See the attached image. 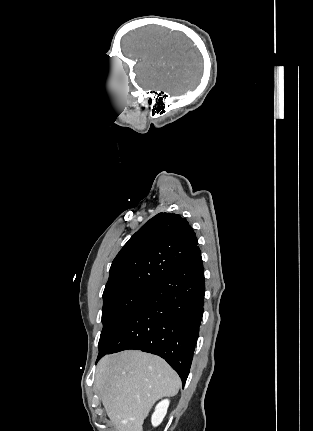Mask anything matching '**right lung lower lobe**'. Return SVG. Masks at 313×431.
I'll use <instances>...</instances> for the list:
<instances>
[{
  "label": "right lung lower lobe",
  "mask_w": 313,
  "mask_h": 431,
  "mask_svg": "<svg viewBox=\"0 0 313 431\" xmlns=\"http://www.w3.org/2000/svg\"><path fill=\"white\" fill-rule=\"evenodd\" d=\"M204 295V269L197 245L99 349L97 361L127 349L156 354L179 374L184 386L199 335Z\"/></svg>",
  "instance_id": "right-lung-lower-lobe-1"
}]
</instances>
